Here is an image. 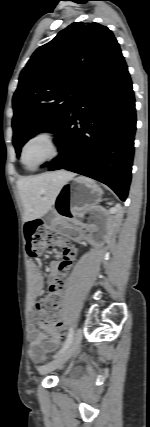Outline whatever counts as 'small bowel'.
I'll list each match as a JSON object with an SVG mask.
<instances>
[{
  "label": "small bowel",
  "mask_w": 150,
  "mask_h": 427,
  "mask_svg": "<svg viewBox=\"0 0 150 427\" xmlns=\"http://www.w3.org/2000/svg\"><path fill=\"white\" fill-rule=\"evenodd\" d=\"M73 257H68L62 261H53L50 264L51 273L49 276L50 286L67 271ZM31 281L34 289L37 292H41L44 287V277L41 271L32 264L30 266ZM62 291L60 292V294ZM40 326L44 330H39L36 326L30 325L28 328V339L30 345V354L33 360L41 361L44 358L45 353L50 352L56 348L59 344L60 336L50 327L44 325L42 322Z\"/></svg>",
  "instance_id": "1"
}]
</instances>
